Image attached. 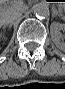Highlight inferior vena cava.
I'll return each mask as SVG.
<instances>
[{
    "mask_svg": "<svg viewBox=\"0 0 65 89\" xmlns=\"http://www.w3.org/2000/svg\"><path fill=\"white\" fill-rule=\"evenodd\" d=\"M21 16H22V13L14 14L13 16H11L9 18H5V17L1 16L0 17V24H2V25L12 24L15 21H17L18 19H20Z\"/></svg>",
    "mask_w": 65,
    "mask_h": 89,
    "instance_id": "602c4592",
    "label": "inferior vena cava"
}]
</instances>
